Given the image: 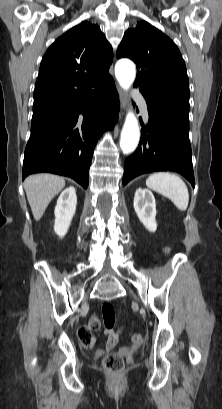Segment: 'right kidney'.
<instances>
[{
	"instance_id": "ca27d5eb",
	"label": "right kidney",
	"mask_w": 222,
	"mask_h": 409,
	"mask_svg": "<svg viewBox=\"0 0 222 409\" xmlns=\"http://www.w3.org/2000/svg\"><path fill=\"white\" fill-rule=\"evenodd\" d=\"M76 205V190L73 186H70L60 194L54 211V231L60 238L64 237L68 231L76 211Z\"/></svg>"
}]
</instances>
